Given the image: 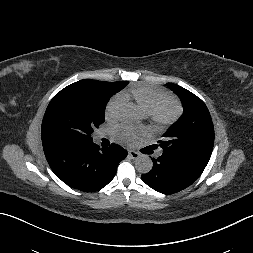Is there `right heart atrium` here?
I'll list each match as a JSON object with an SVG mask.
<instances>
[{"instance_id": "1", "label": "right heart atrium", "mask_w": 253, "mask_h": 253, "mask_svg": "<svg viewBox=\"0 0 253 253\" xmlns=\"http://www.w3.org/2000/svg\"><path fill=\"white\" fill-rule=\"evenodd\" d=\"M124 102L125 99L121 94L116 95L108 102L105 109V117L107 121L114 122L119 118Z\"/></svg>"}]
</instances>
